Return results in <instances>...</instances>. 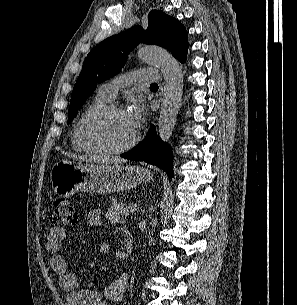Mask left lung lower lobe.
<instances>
[{
  "instance_id": "left-lung-lower-lobe-1",
  "label": "left lung lower lobe",
  "mask_w": 297,
  "mask_h": 305,
  "mask_svg": "<svg viewBox=\"0 0 297 305\" xmlns=\"http://www.w3.org/2000/svg\"><path fill=\"white\" fill-rule=\"evenodd\" d=\"M121 157L156 165L165 171L170 178L173 176L171 148L159 136H156L154 125L149 129L144 141L140 142L133 150L122 154Z\"/></svg>"
}]
</instances>
